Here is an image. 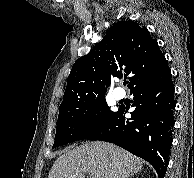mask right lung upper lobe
<instances>
[{
  "label": "right lung upper lobe",
  "instance_id": "right-lung-upper-lobe-1",
  "mask_svg": "<svg viewBox=\"0 0 194 178\" xmlns=\"http://www.w3.org/2000/svg\"><path fill=\"white\" fill-rule=\"evenodd\" d=\"M167 70L166 59L147 28L131 20L120 21L74 63L59 113L103 97L111 77L131 75L128 88L133 90L160 78Z\"/></svg>",
  "mask_w": 194,
  "mask_h": 178
}]
</instances>
